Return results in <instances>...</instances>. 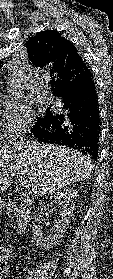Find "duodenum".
Wrapping results in <instances>:
<instances>
[{"mask_svg": "<svg viewBox=\"0 0 113 279\" xmlns=\"http://www.w3.org/2000/svg\"><path fill=\"white\" fill-rule=\"evenodd\" d=\"M15 212L17 216L16 232L18 234H23L29 223L30 209L26 206H20Z\"/></svg>", "mask_w": 113, "mask_h": 279, "instance_id": "duodenum-1", "label": "duodenum"}]
</instances>
